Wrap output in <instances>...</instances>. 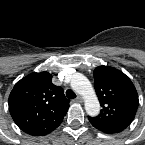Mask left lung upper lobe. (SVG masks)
I'll return each instance as SVG.
<instances>
[{"label":"left lung upper lobe","mask_w":145,"mask_h":145,"mask_svg":"<svg viewBox=\"0 0 145 145\" xmlns=\"http://www.w3.org/2000/svg\"><path fill=\"white\" fill-rule=\"evenodd\" d=\"M94 87L102 110L96 117H88L91 124L107 134L120 133L133 121L138 94L132 81L123 72L109 66L94 70Z\"/></svg>","instance_id":"1"}]
</instances>
